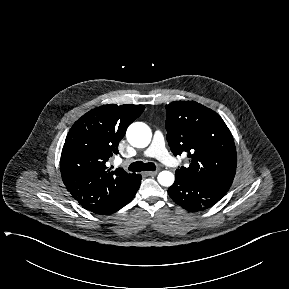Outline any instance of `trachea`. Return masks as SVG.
Returning <instances> with one entry per match:
<instances>
[{
	"mask_svg": "<svg viewBox=\"0 0 289 289\" xmlns=\"http://www.w3.org/2000/svg\"><path fill=\"white\" fill-rule=\"evenodd\" d=\"M130 171H141L143 169L145 170H150V171H154L156 170V166L154 163H146L144 164L143 162L139 161V162H134L132 163L129 168Z\"/></svg>",
	"mask_w": 289,
	"mask_h": 289,
	"instance_id": "trachea-1",
	"label": "trachea"
}]
</instances>
